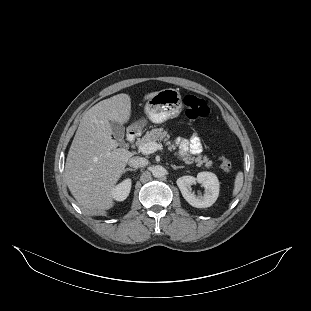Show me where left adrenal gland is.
Segmentation results:
<instances>
[{
  "mask_svg": "<svg viewBox=\"0 0 311 311\" xmlns=\"http://www.w3.org/2000/svg\"><path fill=\"white\" fill-rule=\"evenodd\" d=\"M171 167L174 169V170H177L179 168H184V166H176V165H173L171 164Z\"/></svg>",
  "mask_w": 311,
  "mask_h": 311,
  "instance_id": "obj_1",
  "label": "left adrenal gland"
}]
</instances>
